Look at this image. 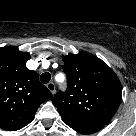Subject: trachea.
Wrapping results in <instances>:
<instances>
[{
  "instance_id": "obj_1",
  "label": "trachea",
  "mask_w": 136,
  "mask_h": 136,
  "mask_svg": "<svg viewBox=\"0 0 136 136\" xmlns=\"http://www.w3.org/2000/svg\"><path fill=\"white\" fill-rule=\"evenodd\" d=\"M50 79H51V75L48 72H45V73L41 74V76H40V81L43 84H47L50 81Z\"/></svg>"
}]
</instances>
